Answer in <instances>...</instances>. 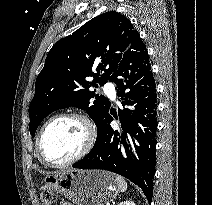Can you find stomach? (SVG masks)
<instances>
[{
	"mask_svg": "<svg viewBox=\"0 0 212 205\" xmlns=\"http://www.w3.org/2000/svg\"><path fill=\"white\" fill-rule=\"evenodd\" d=\"M46 186L76 205H105L119 194L114 174L103 170H65L44 178Z\"/></svg>",
	"mask_w": 212,
	"mask_h": 205,
	"instance_id": "stomach-1",
	"label": "stomach"
}]
</instances>
